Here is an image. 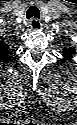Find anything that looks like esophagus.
I'll return each instance as SVG.
<instances>
[{
  "label": "esophagus",
  "instance_id": "esophagus-1",
  "mask_svg": "<svg viewBox=\"0 0 77 125\" xmlns=\"http://www.w3.org/2000/svg\"><path fill=\"white\" fill-rule=\"evenodd\" d=\"M29 24L33 30H39L42 26L41 22L37 18H32Z\"/></svg>",
  "mask_w": 77,
  "mask_h": 125
}]
</instances>
